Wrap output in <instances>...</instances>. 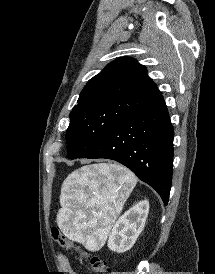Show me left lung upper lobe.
<instances>
[{
	"label": "left lung upper lobe",
	"instance_id": "obj_1",
	"mask_svg": "<svg viewBox=\"0 0 215 274\" xmlns=\"http://www.w3.org/2000/svg\"><path fill=\"white\" fill-rule=\"evenodd\" d=\"M161 97L146 68L132 58H119L94 76L70 113L68 158L84 156L119 123Z\"/></svg>",
	"mask_w": 215,
	"mask_h": 274
}]
</instances>
